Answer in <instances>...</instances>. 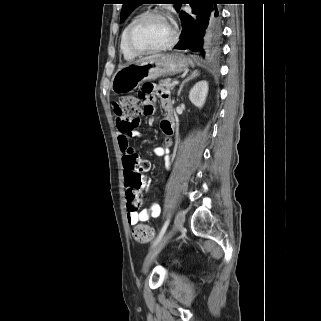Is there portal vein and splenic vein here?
Returning <instances> with one entry per match:
<instances>
[{"instance_id": "1", "label": "portal vein and splenic vein", "mask_w": 321, "mask_h": 321, "mask_svg": "<svg viewBox=\"0 0 321 321\" xmlns=\"http://www.w3.org/2000/svg\"><path fill=\"white\" fill-rule=\"evenodd\" d=\"M179 81H173V85H178Z\"/></svg>"}]
</instances>
